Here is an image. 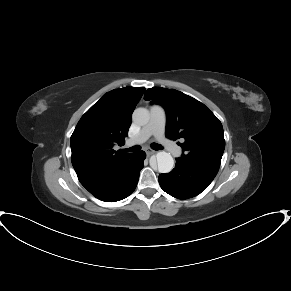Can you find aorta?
<instances>
[{"label":"aorta","mask_w":291,"mask_h":291,"mask_svg":"<svg viewBox=\"0 0 291 291\" xmlns=\"http://www.w3.org/2000/svg\"><path fill=\"white\" fill-rule=\"evenodd\" d=\"M149 111L145 108H137L133 112V121L140 126L149 122ZM158 171L160 173H169L174 167V159L170 153L165 151L158 152L156 155Z\"/></svg>","instance_id":"762f6f07"}]
</instances>
